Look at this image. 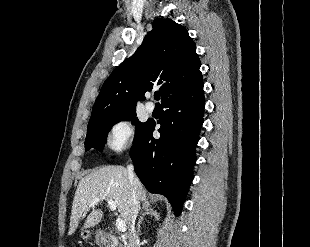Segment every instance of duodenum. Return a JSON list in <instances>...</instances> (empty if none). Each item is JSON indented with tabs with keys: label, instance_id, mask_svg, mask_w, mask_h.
Listing matches in <instances>:
<instances>
[{
	"label": "duodenum",
	"instance_id": "obj_1",
	"mask_svg": "<svg viewBox=\"0 0 310 247\" xmlns=\"http://www.w3.org/2000/svg\"><path fill=\"white\" fill-rule=\"evenodd\" d=\"M101 247H118V240L112 234H104L99 239Z\"/></svg>",
	"mask_w": 310,
	"mask_h": 247
}]
</instances>
